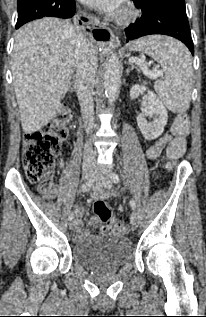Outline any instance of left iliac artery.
Wrapping results in <instances>:
<instances>
[{"instance_id": "left-iliac-artery-1", "label": "left iliac artery", "mask_w": 206, "mask_h": 317, "mask_svg": "<svg viewBox=\"0 0 206 317\" xmlns=\"http://www.w3.org/2000/svg\"><path fill=\"white\" fill-rule=\"evenodd\" d=\"M110 178L112 179V181L114 182V183H120V177H119V175L118 174H116V173H111L110 174ZM130 207H131V209L134 211L135 209H136V202H135V200H131L130 201Z\"/></svg>"}]
</instances>
